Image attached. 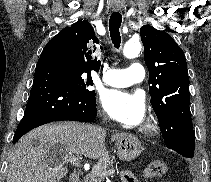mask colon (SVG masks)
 <instances>
[{
    "label": "colon",
    "mask_w": 211,
    "mask_h": 182,
    "mask_svg": "<svg viewBox=\"0 0 211 182\" xmlns=\"http://www.w3.org/2000/svg\"><path fill=\"white\" fill-rule=\"evenodd\" d=\"M168 171V165L162 160H156L148 165L145 171V177L150 180H154L166 174Z\"/></svg>",
    "instance_id": "colon-1"
}]
</instances>
